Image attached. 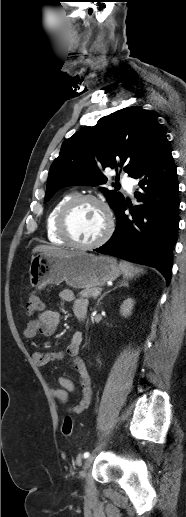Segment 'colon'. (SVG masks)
Wrapping results in <instances>:
<instances>
[{"label":"colon","instance_id":"colon-1","mask_svg":"<svg viewBox=\"0 0 186 517\" xmlns=\"http://www.w3.org/2000/svg\"><path fill=\"white\" fill-rule=\"evenodd\" d=\"M43 310V302L36 293H30L26 300V311L29 315L39 313ZM73 432V420L70 416H66L62 423V433L66 437H70Z\"/></svg>","mask_w":186,"mask_h":517}]
</instances>
